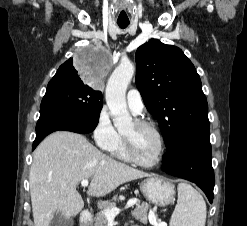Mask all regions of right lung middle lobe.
Masks as SVG:
<instances>
[{"instance_id": "obj_1", "label": "right lung middle lobe", "mask_w": 247, "mask_h": 226, "mask_svg": "<svg viewBox=\"0 0 247 226\" xmlns=\"http://www.w3.org/2000/svg\"><path fill=\"white\" fill-rule=\"evenodd\" d=\"M54 106L71 114L91 118L96 123L103 106L102 93L84 86L74 67L57 72L50 80L41 102V110Z\"/></svg>"}]
</instances>
